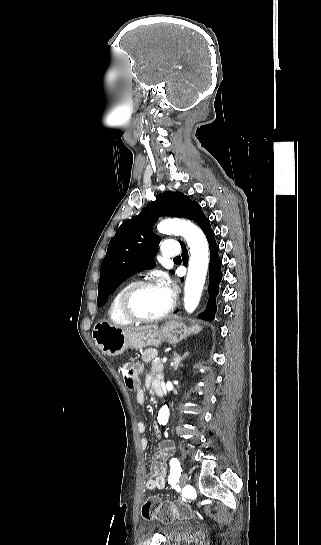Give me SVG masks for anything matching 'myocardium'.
I'll list each match as a JSON object with an SVG mask.
<instances>
[{"label":"myocardium","mask_w":321,"mask_h":545,"mask_svg":"<svg viewBox=\"0 0 321 545\" xmlns=\"http://www.w3.org/2000/svg\"><path fill=\"white\" fill-rule=\"evenodd\" d=\"M156 287H159V285L154 281H139L128 286L122 292L119 298V312L121 317L130 325H142V324L154 323V322H159L161 320H164L172 312L174 308L173 302H171V305L167 311H165L162 314L151 316V317L134 316L128 308L129 300L135 293L141 290L153 289Z\"/></svg>","instance_id":"myocardium-1"}]
</instances>
